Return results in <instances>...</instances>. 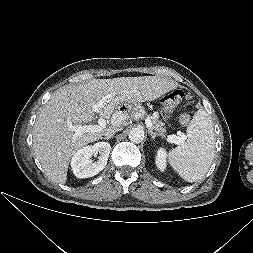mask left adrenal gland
I'll return each instance as SVG.
<instances>
[{
  "label": "left adrenal gland",
  "instance_id": "a2214340",
  "mask_svg": "<svg viewBox=\"0 0 253 253\" xmlns=\"http://www.w3.org/2000/svg\"><path fill=\"white\" fill-rule=\"evenodd\" d=\"M148 133L151 135V139H155V137L157 136V134L154 133L152 130H149Z\"/></svg>",
  "mask_w": 253,
  "mask_h": 253
}]
</instances>
